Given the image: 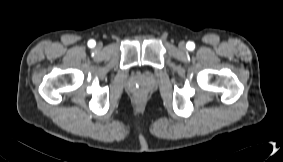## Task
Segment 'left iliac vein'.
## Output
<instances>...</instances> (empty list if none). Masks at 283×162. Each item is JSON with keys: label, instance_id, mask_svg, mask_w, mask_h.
I'll use <instances>...</instances> for the list:
<instances>
[{"label": "left iliac vein", "instance_id": "1", "mask_svg": "<svg viewBox=\"0 0 283 162\" xmlns=\"http://www.w3.org/2000/svg\"><path fill=\"white\" fill-rule=\"evenodd\" d=\"M179 49L182 50V51H185V50H186V44H185V42H180V43H179Z\"/></svg>", "mask_w": 283, "mask_h": 162}]
</instances>
